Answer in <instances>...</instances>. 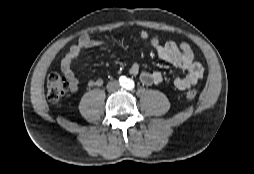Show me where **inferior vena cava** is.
I'll return each mask as SVG.
<instances>
[{"label":"inferior vena cava","mask_w":254,"mask_h":174,"mask_svg":"<svg viewBox=\"0 0 254 174\" xmlns=\"http://www.w3.org/2000/svg\"><path fill=\"white\" fill-rule=\"evenodd\" d=\"M118 88H119V83L117 81L110 82L107 85L108 91H115V90H118Z\"/></svg>","instance_id":"1"}]
</instances>
